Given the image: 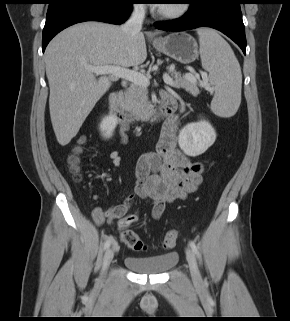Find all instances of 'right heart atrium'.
Here are the masks:
<instances>
[{
  "instance_id": "d8ad5b80",
  "label": "right heart atrium",
  "mask_w": 290,
  "mask_h": 321,
  "mask_svg": "<svg viewBox=\"0 0 290 321\" xmlns=\"http://www.w3.org/2000/svg\"><path fill=\"white\" fill-rule=\"evenodd\" d=\"M133 9L138 13L143 12L144 11L143 3L140 0H138L137 3L133 6Z\"/></svg>"
}]
</instances>
